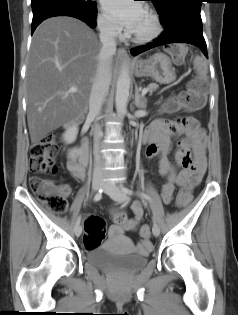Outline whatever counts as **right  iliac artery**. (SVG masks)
I'll use <instances>...</instances> for the list:
<instances>
[{
  "label": "right iliac artery",
  "instance_id": "82829eb1",
  "mask_svg": "<svg viewBox=\"0 0 238 315\" xmlns=\"http://www.w3.org/2000/svg\"><path fill=\"white\" fill-rule=\"evenodd\" d=\"M102 198V190H99V192L95 195L94 201H99ZM81 222V216L77 218L76 224H80Z\"/></svg>",
  "mask_w": 238,
  "mask_h": 315
}]
</instances>
